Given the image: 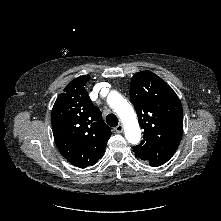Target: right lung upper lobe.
<instances>
[{
  "label": "right lung upper lobe",
  "instance_id": "right-lung-upper-lobe-1",
  "mask_svg": "<svg viewBox=\"0 0 221 221\" xmlns=\"http://www.w3.org/2000/svg\"><path fill=\"white\" fill-rule=\"evenodd\" d=\"M89 75L72 80L52 109L51 123L60 153L74 166L94 165L103 155L111 136V128L95 107L84 86Z\"/></svg>",
  "mask_w": 221,
  "mask_h": 221
}]
</instances>
